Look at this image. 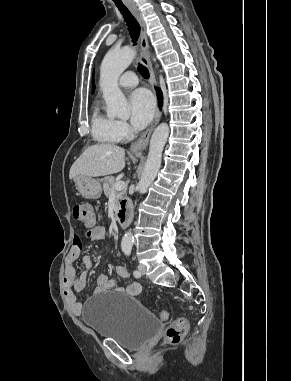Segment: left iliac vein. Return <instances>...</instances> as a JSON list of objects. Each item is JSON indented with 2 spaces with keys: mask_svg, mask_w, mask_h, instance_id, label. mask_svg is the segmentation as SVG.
Listing matches in <instances>:
<instances>
[{
  "mask_svg": "<svg viewBox=\"0 0 291 381\" xmlns=\"http://www.w3.org/2000/svg\"><path fill=\"white\" fill-rule=\"evenodd\" d=\"M138 271L141 273V275L145 274L146 272V266L143 264L138 265Z\"/></svg>",
  "mask_w": 291,
  "mask_h": 381,
  "instance_id": "4c4485c4",
  "label": "left iliac vein"
}]
</instances>
